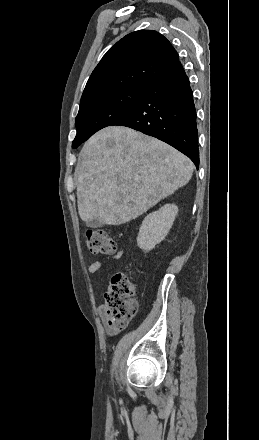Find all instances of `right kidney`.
Masks as SVG:
<instances>
[{
    "instance_id": "obj_1",
    "label": "right kidney",
    "mask_w": 259,
    "mask_h": 440,
    "mask_svg": "<svg viewBox=\"0 0 259 440\" xmlns=\"http://www.w3.org/2000/svg\"><path fill=\"white\" fill-rule=\"evenodd\" d=\"M177 212L178 207L175 204H166L147 215L137 236L138 247L146 252L159 244L168 234Z\"/></svg>"
}]
</instances>
